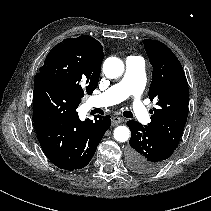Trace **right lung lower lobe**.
<instances>
[{"instance_id":"right-lung-lower-lobe-1","label":"right lung lower lobe","mask_w":211,"mask_h":211,"mask_svg":"<svg viewBox=\"0 0 211 211\" xmlns=\"http://www.w3.org/2000/svg\"><path fill=\"white\" fill-rule=\"evenodd\" d=\"M80 102L72 90L35 77L33 122L37 138L47 158L61 169L85 167L111 125L109 115L81 121L76 111Z\"/></svg>"}]
</instances>
